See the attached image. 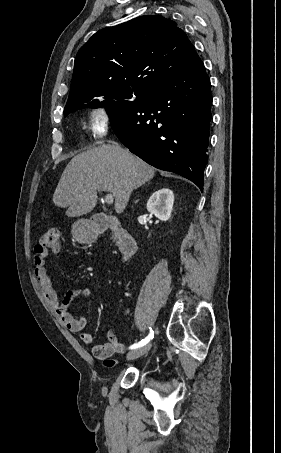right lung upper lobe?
<instances>
[{
    "instance_id": "cb5924a9",
    "label": "right lung upper lobe",
    "mask_w": 281,
    "mask_h": 453,
    "mask_svg": "<svg viewBox=\"0 0 281 453\" xmlns=\"http://www.w3.org/2000/svg\"><path fill=\"white\" fill-rule=\"evenodd\" d=\"M171 19L145 15L94 34L79 50L64 115L141 95L197 58Z\"/></svg>"
}]
</instances>
